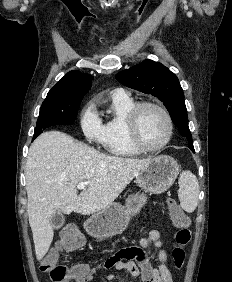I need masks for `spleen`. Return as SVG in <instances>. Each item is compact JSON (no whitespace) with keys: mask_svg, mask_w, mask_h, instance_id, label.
Segmentation results:
<instances>
[{"mask_svg":"<svg viewBox=\"0 0 232 282\" xmlns=\"http://www.w3.org/2000/svg\"><path fill=\"white\" fill-rule=\"evenodd\" d=\"M178 184V198L180 200V205L186 212L192 213L198 204V180L192 172L186 170L180 174Z\"/></svg>","mask_w":232,"mask_h":282,"instance_id":"3e777b00","label":"spleen"}]
</instances>
